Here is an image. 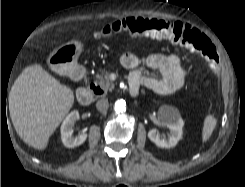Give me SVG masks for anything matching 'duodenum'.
Here are the masks:
<instances>
[{"instance_id":"1","label":"duodenum","mask_w":245,"mask_h":187,"mask_svg":"<svg viewBox=\"0 0 245 187\" xmlns=\"http://www.w3.org/2000/svg\"><path fill=\"white\" fill-rule=\"evenodd\" d=\"M74 75L76 78H82L84 76L83 68L78 67L75 70ZM99 92L100 90L96 85L88 84L87 86L81 87L76 91V99L80 104L86 105V104H89L93 100L94 96L98 95ZM135 92H137V89H135ZM136 94H133V95H136Z\"/></svg>"}]
</instances>
